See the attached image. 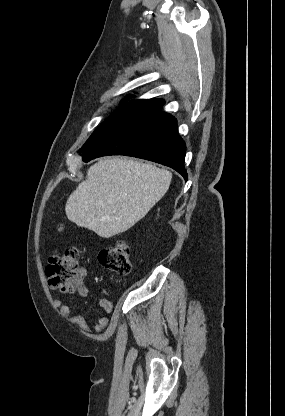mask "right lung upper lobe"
Segmentation results:
<instances>
[{"label": "right lung upper lobe", "mask_w": 285, "mask_h": 416, "mask_svg": "<svg viewBox=\"0 0 285 416\" xmlns=\"http://www.w3.org/2000/svg\"><path fill=\"white\" fill-rule=\"evenodd\" d=\"M145 101L158 104L161 107L164 105V101L162 99H150V100H145Z\"/></svg>", "instance_id": "obj_1"}]
</instances>
